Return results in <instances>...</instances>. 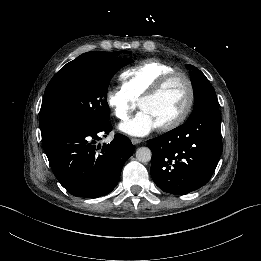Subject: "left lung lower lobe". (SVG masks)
<instances>
[{
	"instance_id": "1",
	"label": "left lung lower lobe",
	"mask_w": 261,
	"mask_h": 261,
	"mask_svg": "<svg viewBox=\"0 0 261 261\" xmlns=\"http://www.w3.org/2000/svg\"><path fill=\"white\" fill-rule=\"evenodd\" d=\"M151 176L164 192L185 195L206 185L222 153L221 116L206 110L185 124L148 140Z\"/></svg>"
}]
</instances>
